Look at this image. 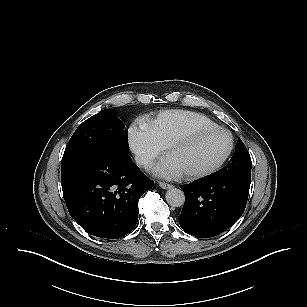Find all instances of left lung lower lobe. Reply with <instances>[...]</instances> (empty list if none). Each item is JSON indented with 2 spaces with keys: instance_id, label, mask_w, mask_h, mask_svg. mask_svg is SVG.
<instances>
[{
  "instance_id": "obj_1",
  "label": "left lung lower lobe",
  "mask_w": 307,
  "mask_h": 307,
  "mask_svg": "<svg viewBox=\"0 0 307 307\" xmlns=\"http://www.w3.org/2000/svg\"><path fill=\"white\" fill-rule=\"evenodd\" d=\"M251 176H208L180 186L185 203L179 224L187 233L214 237L231 227L243 214Z\"/></svg>"
}]
</instances>
